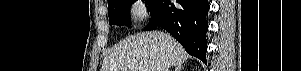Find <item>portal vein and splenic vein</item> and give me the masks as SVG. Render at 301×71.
Masks as SVG:
<instances>
[{
    "label": "portal vein and splenic vein",
    "mask_w": 301,
    "mask_h": 71,
    "mask_svg": "<svg viewBox=\"0 0 301 71\" xmlns=\"http://www.w3.org/2000/svg\"><path fill=\"white\" fill-rule=\"evenodd\" d=\"M134 68L139 70V71H148V69L143 65H140V66L135 65Z\"/></svg>",
    "instance_id": "18ae733b"
}]
</instances>
